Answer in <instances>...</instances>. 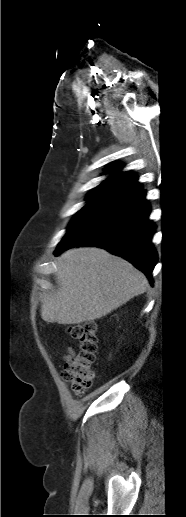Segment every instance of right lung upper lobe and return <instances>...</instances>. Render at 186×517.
Masks as SVG:
<instances>
[{"instance_id": "obj_1", "label": "right lung upper lobe", "mask_w": 186, "mask_h": 517, "mask_svg": "<svg viewBox=\"0 0 186 517\" xmlns=\"http://www.w3.org/2000/svg\"><path fill=\"white\" fill-rule=\"evenodd\" d=\"M122 168V165L113 164L106 170V173H113ZM142 190V186L137 182V177L131 172L114 173L104 182L94 188L87 199L104 200L118 203Z\"/></svg>"}]
</instances>
